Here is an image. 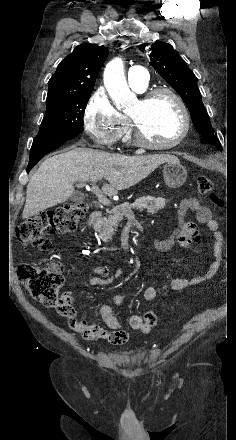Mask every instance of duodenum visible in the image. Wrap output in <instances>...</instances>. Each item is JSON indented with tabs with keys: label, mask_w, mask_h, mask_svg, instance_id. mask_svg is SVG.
<instances>
[{
	"label": "duodenum",
	"mask_w": 236,
	"mask_h": 440,
	"mask_svg": "<svg viewBox=\"0 0 236 440\" xmlns=\"http://www.w3.org/2000/svg\"><path fill=\"white\" fill-rule=\"evenodd\" d=\"M103 214L100 210H93L88 218L87 226L92 227L94 224H96L100 219L102 218Z\"/></svg>",
	"instance_id": "1"
}]
</instances>
